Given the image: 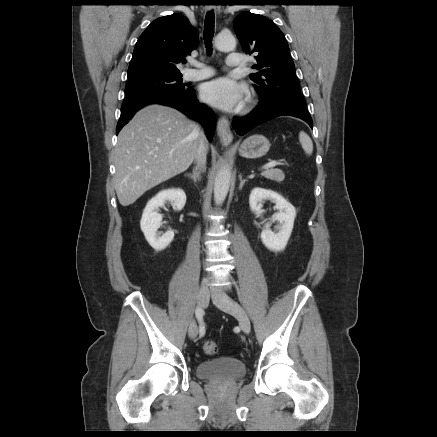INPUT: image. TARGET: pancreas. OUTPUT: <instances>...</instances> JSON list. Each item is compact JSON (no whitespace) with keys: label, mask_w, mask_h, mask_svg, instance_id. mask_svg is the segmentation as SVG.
Here are the masks:
<instances>
[{"label":"pancreas","mask_w":437,"mask_h":437,"mask_svg":"<svg viewBox=\"0 0 437 437\" xmlns=\"http://www.w3.org/2000/svg\"><path fill=\"white\" fill-rule=\"evenodd\" d=\"M261 175L276 182H282L285 178L284 173L280 169H266Z\"/></svg>","instance_id":"pancreas-1"}]
</instances>
